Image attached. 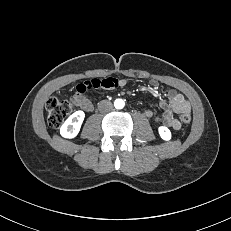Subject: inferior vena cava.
<instances>
[{"mask_svg":"<svg viewBox=\"0 0 231 231\" xmlns=\"http://www.w3.org/2000/svg\"><path fill=\"white\" fill-rule=\"evenodd\" d=\"M98 109L102 113L110 112L113 109V105L110 101L108 100H102L98 104Z\"/></svg>","mask_w":231,"mask_h":231,"instance_id":"obj_1","label":"inferior vena cava"}]
</instances>
